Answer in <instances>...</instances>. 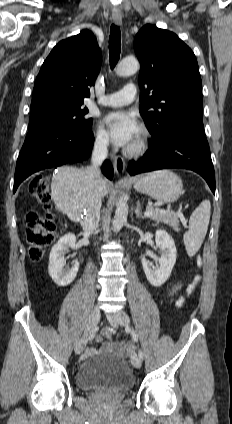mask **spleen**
Wrapping results in <instances>:
<instances>
[{"label":"spleen","instance_id":"1","mask_svg":"<svg viewBox=\"0 0 232 424\" xmlns=\"http://www.w3.org/2000/svg\"><path fill=\"white\" fill-rule=\"evenodd\" d=\"M210 209V201L204 200L190 216L189 229L183 235L185 248L189 257H193L203 243L209 225Z\"/></svg>","mask_w":232,"mask_h":424}]
</instances>
